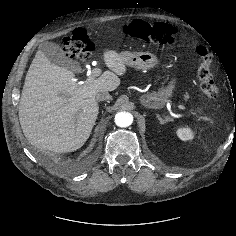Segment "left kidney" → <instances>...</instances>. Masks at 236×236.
Returning a JSON list of instances; mask_svg holds the SVG:
<instances>
[{
	"label": "left kidney",
	"mask_w": 236,
	"mask_h": 236,
	"mask_svg": "<svg viewBox=\"0 0 236 236\" xmlns=\"http://www.w3.org/2000/svg\"><path fill=\"white\" fill-rule=\"evenodd\" d=\"M176 134L182 141H191L194 138V133L190 128H179Z\"/></svg>",
	"instance_id": "1"
}]
</instances>
